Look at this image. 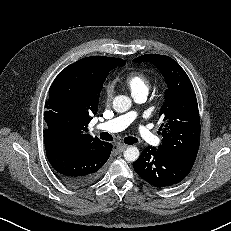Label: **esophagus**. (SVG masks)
<instances>
[{"instance_id": "obj_1", "label": "esophagus", "mask_w": 231, "mask_h": 231, "mask_svg": "<svg viewBox=\"0 0 231 231\" xmlns=\"http://www.w3.org/2000/svg\"><path fill=\"white\" fill-rule=\"evenodd\" d=\"M126 148H127V145H124V144H121V143H118V144L116 145V149H117L119 152H123Z\"/></svg>"}]
</instances>
